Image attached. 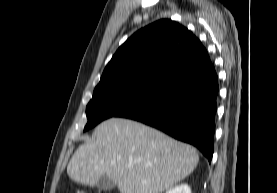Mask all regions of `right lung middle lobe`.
Wrapping results in <instances>:
<instances>
[{"label":"right lung middle lobe","mask_w":277,"mask_h":193,"mask_svg":"<svg viewBox=\"0 0 277 193\" xmlns=\"http://www.w3.org/2000/svg\"><path fill=\"white\" fill-rule=\"evenodd\" d=\"M154 91L155 89L133 86L94 90L92 100L86 107L88 122L84 131L93 128L105 119L118 116Z\"/></svg>","instance_id":"obj_1"}]
</instances>
